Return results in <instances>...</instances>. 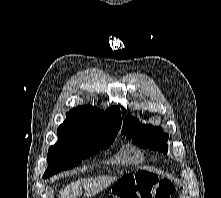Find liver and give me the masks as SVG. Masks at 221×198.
<instances>
[{"label":"liver","mask_w":221,"mask_h":198,"mask_svg":"<svg viewBox=\"0 0 221 198\" xmlns=\"http://www.w3.org/2000/svg\"><path fill=\"white\" fill-rule=\"evenodd\" d=\"M116 180V177L98 176L82 179L68 184L59 192L58 198H78L82 194V189L85 190V196L91 197Z\"/></svg>","instance_id":"6515ba94"}]
</instances>
